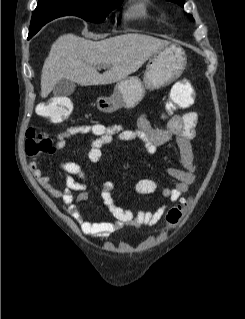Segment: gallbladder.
Here are the masks:
<instances>
[{"label":"gallbladder","mask_w":245,"mask_h":319,"mask_svg":"<svg viewBox=\"0 0 245 319\" xmlns=\"http://www.w3.org/2000/svg\"><path fill=\"white\" fill-rule=\"evenodd\" d=\"M76 88L75 82L68 79H61L53 88V94L56 96L66 97L71 95Z\"/></svg>","instance_id":"gallbladder-1"}]
</instances>
